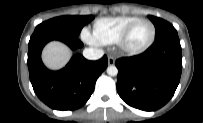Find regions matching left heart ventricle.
<instances>
[{
	"instance_id": "obj_1",
	"label": "left heart ventricle",
	"mask_w": 203,
	"mask_h": 123,
	"mask_svg": "<svg viewBox=\"0 0 203 123\" xmlns=\"http://www.w3.org/2000/svg\"><path fill=\"white\" fill-rule=\"evenodd\" d=\"M152 35V28L149 23L142 22L135 26L132 30L127 45L130 48H140L144 46Z\"/></svg>"
}]
</instances>
